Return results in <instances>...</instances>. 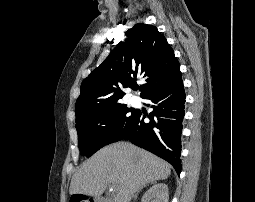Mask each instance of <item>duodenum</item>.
Instances as JSON below:
<instances>
[{
    "label": "duodenum",
    "instance_id": "410a0bca",
    "mask_svg": "<svg viewBox=\"0 0 255 202\" xmlns=\"http://www.w3.org/2000/svg\"><path fill=\"white\" fill-rule=\"evenodd\" d=\"M91 202H106L102 197H94Z\"/></svg>",
    "mask_w": 255,
    "mask_h": 202
}]
</instances>
